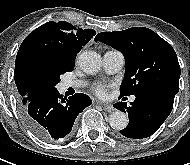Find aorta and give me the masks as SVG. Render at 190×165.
Segmentation results:
<instances>
[{
    "instance_id": "obj_1",
    "label": "aorta",
    "mask_w": 190,
    "mask_h": 165,
    "mask_svg": "<svg viewBox=\"0 0 190 165\" xmlns=\"http://www.w3.org/2000/svg\"><path fill=\"white\" fill-rule=\"evenodd\" d=\"M80 68L87 74H95L101 69V56L95 51H84L78 58ZM109 124L113 129L122 130L128 125V117L124 112L115 111L109 116Z\"/></svg>"
}]
</instances>
